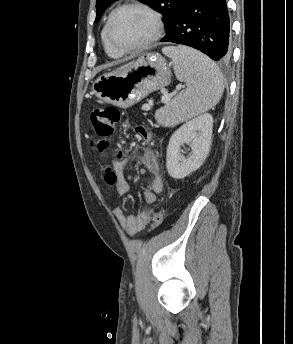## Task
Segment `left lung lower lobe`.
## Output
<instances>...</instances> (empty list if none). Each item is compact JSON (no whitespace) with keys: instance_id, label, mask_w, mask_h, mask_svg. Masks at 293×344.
I'll use <instances>...</instances> for the list:
<instances>
[{"instance_id":"left-lung-lower-lobe-1","label":"left lung lower lobe","mask_w":293,"mask_h":344,"mask_svg":"<svg viewBox=\"0 0 293 344\" xmlns=\"http://www.w3.org/2000/svg\"><path fill=\"white\" fill-rule=\"evenodd\" d=\"M230 19L225 0H183L161 42L193 47L215 61H227Z\"/></svg>"}]
</instances>
